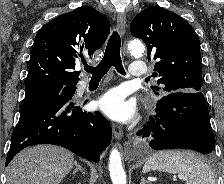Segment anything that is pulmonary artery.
I'll return each mask as SVG.
<instances>
[{
  "mask_svg": "<svg viewBox=\"0 0 224 184\" xmlns=\"http://www.w3.org/2000/svg\"><path fill=\"white\" fill-rule=\"evenodd\" d=\"M148 73V67L145 65L144 62L142 61H134L131 64L130 67V71H129V75L133 78H139V77H143L145 75H147ZM87 83L85 81H82L79 86L78 89L79 90H83L86 87Z\"/></svg>",
  "mask_w": 224,
  "mask_h": 184,
  "instance_id": "pulmonary-artery-1",
  "label": "pulmonary artery"
}]
</instances>
